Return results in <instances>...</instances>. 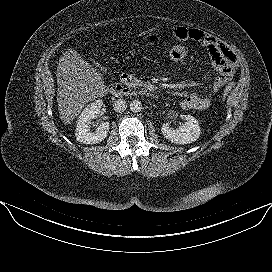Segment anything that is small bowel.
<instances>
[{
  "mask_svg": "<svg viewBox=\"0 0 272 272\" xmlns=\"http://www.w3.org/2000/svg\"><path fill=\"white\" fill-rule=\"evenodd\" d=\"M174 36L178 40H194L203 45L218 73L208 94L190 93L181 101L183 109L205 110L210 106L215 94L231 81L237 67L235 55L221 40L200 29L179 26L175 28Z\"/></svg>",
  "mask_w": 272,
  "mask_h": 272,
  "instance_id": "small-bowel-1",
  "label": "small bowel"
}]
</instances>
